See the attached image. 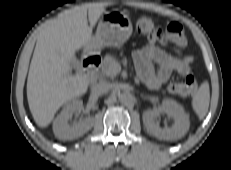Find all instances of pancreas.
Segmentation results:
<instances>
[{"instance_id":"pancreas-1","label":"pancreas","mask_w":231,"mask_h":170,"mask_svg":"<svg viewBox=\"0 0 231 170\" xmlns=\"http://www.w3.org/2000/svg\"><path fill=\"white\" fill-rule=\"evenodd\" d=\"M117 63H118L117 60L113 56L107 54L104 57L103 65L101 68L102 75L106 77L114 78L118 73H115L111 67Z\"/></svg>"}]
</instances>
